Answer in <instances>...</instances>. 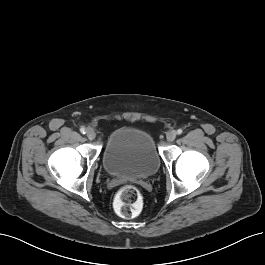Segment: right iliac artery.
<instances>
[{"label": "right iliac artery", "instance_id": "82829eb1", "mask_svg": "<svg viewBox=\"0 0 265 265\" xmlns=\"http://www.w3.org/2000/svg\"><path fill=\"white\" fill-rule=\"evenodd\" d=\"M80 132H81L82 134H85V133H86V129H85L84 127H82V128H80Z\"/></svg>", "mask_w": 265, "mask_h": 265}]
</instances>
